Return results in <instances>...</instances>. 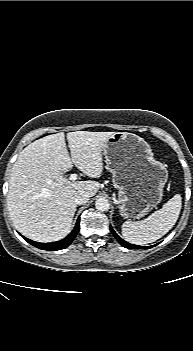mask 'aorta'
<instances>
[{
    "mask_svg": "<svg viewBox=\"0 0 193 351\" xmlns=\"http://www.w3.org/2000/svg\"><path fill=\"white\" fill-rule=\"evenodd\" d=\"M95 207L98 211H108L110 208V204L105 197H100L95 201Z\"/></svg>",
    "mask_w": 193,
    "mask_h": 351,
    "instance_id": "762f6f07",
    "label": "aorta"
}]
</instances>
